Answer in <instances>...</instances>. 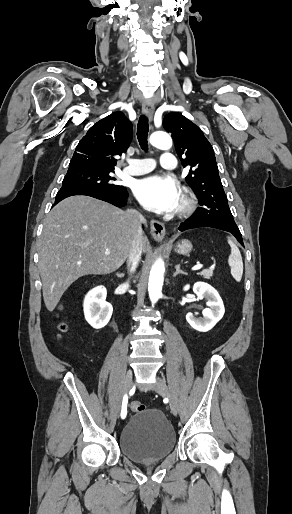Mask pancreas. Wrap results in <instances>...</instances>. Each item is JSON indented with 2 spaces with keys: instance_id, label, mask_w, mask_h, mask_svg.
Returning <instances> with one entry per match:
<instances>
[{
  "instance_id": "obj_1",
  "label": "pancreas",
  "mask_w": 292,
  "mask_h": 514,
  "mask_svg": "<svg viewBox=\"0 0 292 514\" xmlns=\"http://www.w3.org/2000/svg\"><path fill=\"white\" fill-rule=\"evenodd\" d=\"M198 276H203V278H207V280H209V278L213 276V270H203V272H200Z\"/></svg>"
}]
</instances>
